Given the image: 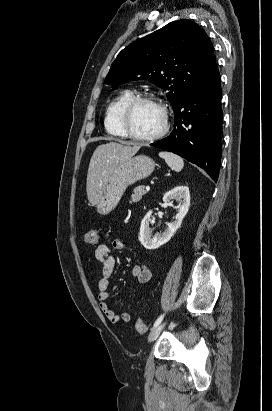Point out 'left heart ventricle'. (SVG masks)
Wrapping results in <instances>:
<instances>
[{
  "instance_id": "obj_1",
  "label": "left heart ventricle",
  "mask_w": 272,
  "mask_h": 411,
  "mask_svg": "<svg viewBox=\"0 0 272 411\" xmlns=\"http://www.w3.org/2000/svg\"><path fill=\"white\" fill-rule=\"evenodd\" d=\"M161 110L153 103H140L134 107L129 118L131 130L140 136L156 133L162 126Z\"/></svg>"
}]
</instances>
